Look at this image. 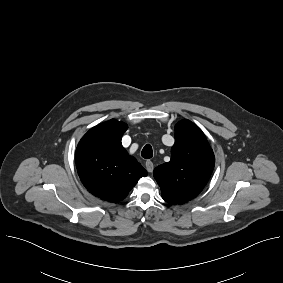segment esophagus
Wrapping results in <instances>:
<instances>
[{"label": "esophagus", "mask_w": 283, "mask_h": 283, "mask_svg": "<svg viewBox=\"0 0 283 283\" xmlns=\"http://www.w3.org/2000/svg\"><path fill=\"white\" fill-rule=\"evenodd\" d=\"M146 169L149 173H151L154 169V164L151 160H147L145 163Z\"/></svg>", "instance_id": "34e87169"}]
</instances>
